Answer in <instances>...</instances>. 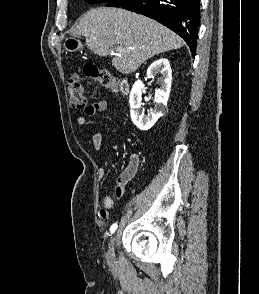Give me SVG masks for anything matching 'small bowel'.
Wrapping results in <instances>:
<instances>
[{
  "label": "small bowel",
  "mask_w": 259,
  "mask_h": 294,
  "mask_svg": "<svg viewBox=\"0 0 259 294\" xmlns=\"http://www.w3.org/2000/svg\"><path fill=\"white\" fill-rule=\"evenodd\" d=\"M107 108V103L104 100H97L94 103L88 105L85 108V114L87 116H94L99 112L104 111ZM87 122L86 116L80 115L77 117V123L79 125H85ZM91 142L93 147L97 151L103 150V136L101 132H96L91 135ZM106 159L112 163V160L109 156H106ZM139 165V159L137 155H132L127 167L124 171L120 174L119 178L117 179L116 186H115V195L118 199H121L124 194V186L127 182L135 175L137 172ZM106 171L104 168H100L98 170V177L103 179L105 177ZM113 199L110 196H105L101 199V209L99 212V216L101 219L106 220L109 217V210L113 207Z\"/></svg>",
  "instance_id": "c3829d8e"
}]
</instances>
